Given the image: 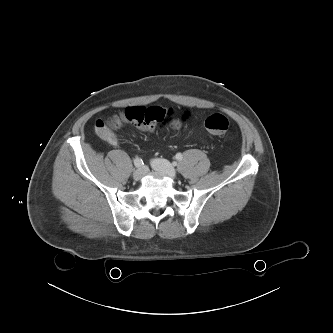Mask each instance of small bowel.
I'll use <instances>...</instances> for the list:
<instances>
[{
	"label": "small bowel",
	"instance_id": "small-bowel-1",
	"mask_svg": "<svg viewBox=\"0 0 333 333\" xmlns=\"http://www.w3.org/2000/svg\"><path fill=\"white\" fill-rule=\"evenodd\" d=\"M172 113L171 110H165L161 107H129L122 112L124 122L131 123L146 132H155L158 127L171 122ZM108 141L110 144H117V138L114 135Z\"/></svg>",
	"mask_w": 333,
	"mask_h": 333
}]
</instances>
